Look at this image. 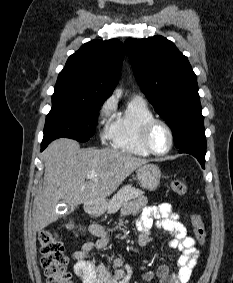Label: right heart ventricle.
Wrapping results in <instances>:
<instances>
[{"label": "right heart ventricle", "instance_id": "obj_1", "mask_svg": "<svg viewBox=\"0 0 233 283\" xmlns=\"http://www.w3.org/2000/svg\"><path fill=\"white\" fill-rule=\"evenodd\" d=\"M152 117L153 112L145 101L131 99L110 122L111 146L127 154L148 156L149 153L140 143L139 133L143 123Z\"/></svg>", "mask_w": 233, "mask_h": 283}]
</instances>
